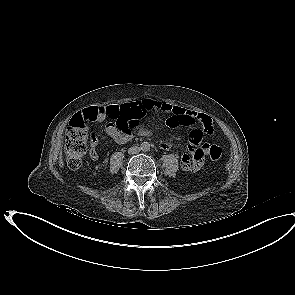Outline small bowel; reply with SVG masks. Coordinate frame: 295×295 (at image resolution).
Here are the masks:
<instances>
[{
	"mask_svg": "<svg viewBox=\"0 0 295 295\" xmlns=\"http://www.w3.org/2000/svg\"><path fill=\"white\" fill-rule=\"evenodd\" d=\"M112 106H93L82 110L79 117L88 122H102L107 118L106 112L111 110ZM131 116V124L126 129H119L115 123L109 122L106 125V133L117 143H126L133 138L135 133L140 136H149L150 130L140 127L136 131L132 130L138 121L145 120L148 112H155L166 116V124L170 128L179 126H193L200 123L202 129H193L189 134L188 153H184L181 157V166L184 170L197 171L204 166V157L209 152L210 145L208 143L201 144L204 136H213L214 127L212 119L205 113H199L193 110L173 106L168 103L157 101L154 99H144L137 102L127 103L122 106ZM116 108V107H114ZM99 139L96 133L91 134L89 155L92 160H98L97 151ZM170 141H162L160 148L168 150L172 147Z\"/></svg>",
	"mask_w": 295,
	"mask_h": 295,
	"instance_id": "c3829d8e",
	"label": "small bowel"
}]
</instances>
